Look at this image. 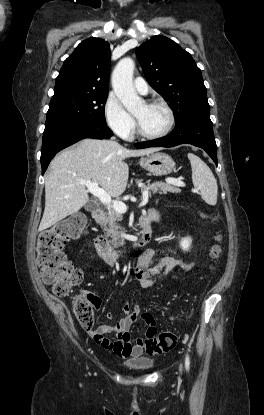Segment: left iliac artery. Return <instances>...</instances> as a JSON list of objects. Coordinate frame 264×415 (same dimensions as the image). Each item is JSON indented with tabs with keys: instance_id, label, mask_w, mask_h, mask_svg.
<instances>
[{
	"instance_id": "left-iliac-artery-1",
	"label": "left iliac artery",
	"mask_w": 264,
	"mask_h": 415,
	"mask_svg": "<svg viewBox=\"0 0 264 415\" xmlns=\"http://www.w3.org/2000/svg\"><path fill=\"white\" fill-rule=\"evenodd\" d=\"M189 365H190V360H189V356L187 354L186 359H185V367H186L187 370L189 369Z\"/></svg>"
}]
</instances>
